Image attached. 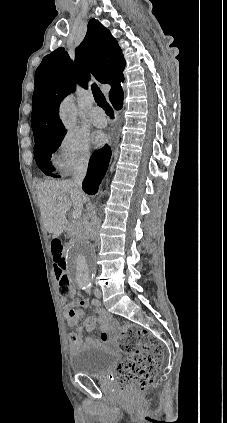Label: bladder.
I'll return each instance as SVG.
<instances>
[{
  "mask_svg": "<svg viewBox=\"0 0 227 423\" xmlns=\"http://www.w3.org/2000/svg\"><path fill=\"white\" fill-rule=\"evenodd\" d=\"M116 352L106 351L99 345L82 347L78 353L70 359L73 372L91 379L102 380L111 373L118 361Z\"/></svg>",
  "mask_w": 227,
  "mask_h": 423,
  "instance_id": "31cf9c89",
  "label": "bladder"
}]
</instances>
